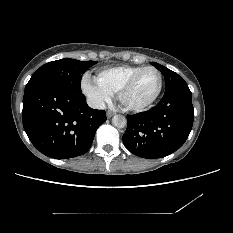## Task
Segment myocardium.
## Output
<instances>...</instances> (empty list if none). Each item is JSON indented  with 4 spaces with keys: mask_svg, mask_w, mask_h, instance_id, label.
<instances>
[{
    "mask_svg": "<svg viewBox=\"0 0 233 233\" xmlns=\"http://www.w3.org/2000/svg\"><path fill=\"white\" fill-rule=\"evenodd\" d=\"M148 70H154L157 74H158V87L157 90L155 92V94L148 99L147 101H145L144 103H141L139 105H131L128 104L126 102V95L127 93L131 90V88L135 85V83L137 82V80L139 79V77L145 73ZM163 87V78H162V74L160 72L159 69H157L154 66H146L143 67L142 69H140L139 71H137L136 73H134L125 83L124 85L121 87V89L118 92V100L120 102V105L130 111H142L146 108H148L149 106H151L159 97L161 90Z\"/></svg>",
    "mask_w": 233,
    "mask_h": 233,
    "instance_id": "myocardium-1",
    "label": "myocardium"
}]
</instances>
